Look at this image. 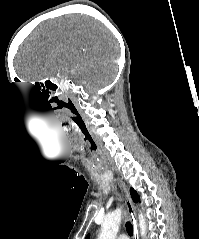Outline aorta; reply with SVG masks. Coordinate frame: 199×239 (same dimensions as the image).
<instances>
[{"label": "aorta", "mask_w": 199, "mask_h": 239, "mask_svg": "<svg viewBox=\"0 0 199 239\" xmlns=\"http://www.w3.org/2000/svg\"><path fill=\"white\" fill-rule=\"evenodd\" d=\"M121 219L122 211L119 208L108 214L101 225V232L98 239H116ZM139 228L141 236L145 237L147 226L145 216L142 213L139 214Z\"/></svg>", "instance_id": "obj_1"}]
</instances>
